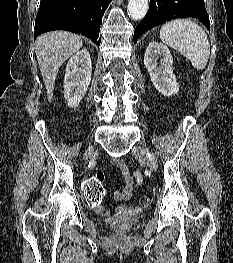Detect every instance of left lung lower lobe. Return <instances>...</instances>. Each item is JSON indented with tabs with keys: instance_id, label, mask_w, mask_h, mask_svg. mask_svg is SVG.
<instances>
[{
	"instance_id": "obj_1",
	"label": "left lung lower lobe",
	"mask_w": 233,
	"mask_h": 263,
	"mask_svg": "<svg viewBox=\"0 0 233 263\" xmlns=\"http://www.w3.org/2000/svg\"><path fill=\"white\" fill-rule=\"evenodd\" d=\"M186 17L199 19L210 30L204 0H150L146 16L135 29L134 43L147 30L171 19Z\"/></svg>"
}]
</instances>
